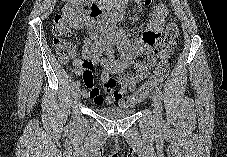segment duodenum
Listing matches in <instances>:
<instances>
[{
	"mask_svg": "<svg viewBox=\"0 0 227 157\" xmlns=\"http://www.w3.org/2000/svg\"><path fill=\"white\" fill-rule=\"evenodd\" d=\"M88 9H91L90 32L103 33L114 30V24L117 22L118 17L114 14L105 17V5L102 0H90Z\"/></svg>",
	"mask_w": 227,
	"mask_h": 157,
	"instance_id": "duodenum-1",
	"label": "duodenum"
}]
</instances>
